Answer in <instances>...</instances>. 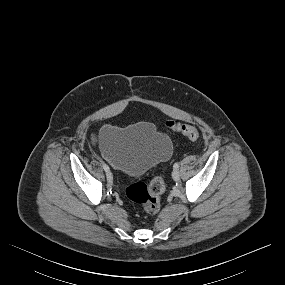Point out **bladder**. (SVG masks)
Here are the masks:
<instances>
[{"instance_id":"31cf9c89","label":"bladder","mask_w":285,"mask_h":285,"mask_svg":"<svg viewBox=\"0 0 285 285\" xmlns=\"http://www.w3.org/2000/svg\"><path fill=\"white\" fill-rule=\"evenodd\" d=\"M103 157L127 177L141 175L172 154L173 144L150 122L127 127L106 125L99 132Z\"/></svg>"}]
</instances>
